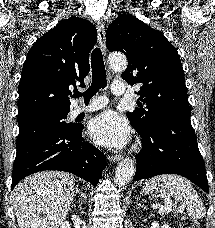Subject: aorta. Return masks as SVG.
<instances>
[{
  "mask_svg": "<svg viewBox=\"0 0 215 228\" xmlns=\"http://www.w3.org/2000/svg\"><path fill=\"white\" fill-rule=\"evenodd\" d=\"M109 66L114 68V70H126L127 68V58L124 54H110L109 56ZM136 166L134 160H123L116 168L115 172V182L118 186H125L131 182L133 176H135Z\"/></svg>",
  "mask_w": 215,
  "mask_h": 228,
  "instance_id": "aorta-1",
  "label": "aorta"
}]
</instances>
